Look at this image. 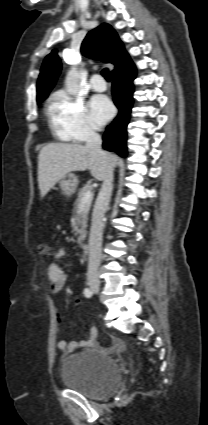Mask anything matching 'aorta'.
I'll list each match as a JSON object with an SVG mask.
<instances>
[{
	"instance_id": "aorta-1",
	"label": "aorta",
	"mask_w": 208,
	"mask_h": 425,
	"mask_svg": "<svg viewBox=\"0 0 208 425\" xmlns=\"http://www.w3.org/2000/svg\"><path fill=\"white\" fill-rule=\"evenodd\" d=\"M65 88L70 95H76L79 91V72L77 68H71L65 79Z\"/></svg>"
}]
</instances>
